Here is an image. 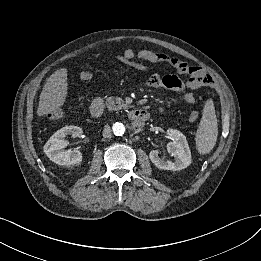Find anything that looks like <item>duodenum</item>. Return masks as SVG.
I'll list each match as a JSON object with an SVG mask.
<instances>
[{
  "mask_svg": "<svg viewBox=\"0 0 261 261\" xmlns=\"http://www.w3.org/2000/svg\"><path fill=\"white\" fill-rule=\"evenodd\" d=\"M90 113L95 118L103 116V103L100 99L92 103ZM129 116L136 126H140L148 120L149 112L144 109H135L130 112Z\"/></svg>",
  "mask_w": 261,
  "mask_h": 261,
  "instance_id": "410a0bca",
  "label": "duodenum"
}]
</instances>
